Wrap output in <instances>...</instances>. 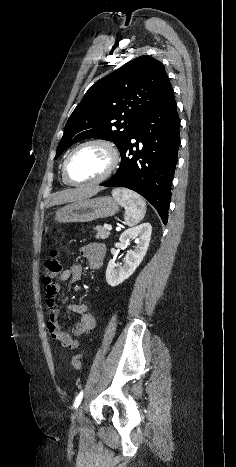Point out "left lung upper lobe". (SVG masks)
Instances as JSON below:
<instances>
[{"instance_id":"obj_1","label":"left lung upper lobe","mask_w":236,"mask_h":467,"mask_svg":"<svg viewBox=\"0 0 236 467\" xmlns=\"http://www.w3.org/2000/svg\"><path fill=\"white\" fill-rule=\"evenodd\" d=\"M170 88L155 58L143 55L126 63L88 89L66 123L55 159L87 138L111 140L121 152L133 129Z\"/></svg>"}]
</instances>
